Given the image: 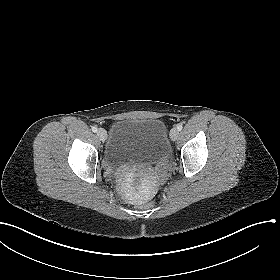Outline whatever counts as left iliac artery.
Instances as JSON below:
<instances>
[{
	"label": "left iliac artery",
	"instance_id": "1",
	"mask_svg": "<svg viewBox=\"0 0 280 280\" xmlns=\"http://www.w3.org/2000/svg\"><path fill=\"white\" fill-rule=\"evenodd\" d=\"M182 128H183L182 124H178V125H177V129H178L179 131L182 130Z\"/></svg>",
	"mask_w": 280,
	"mask_h": 280
}]
</instances>
